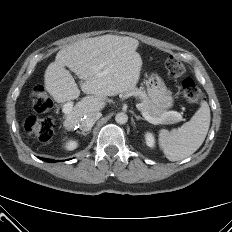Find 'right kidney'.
I'll return each mask as SVG.
<instances>
[{
    "label": "right kidney",
    "mask_w": 232,
    "mask_h": 232,
    "mask_svg": "<svg viewBox=\"0 0 232 232\" xmlns=\"http://www.w3.org/2000/svg\"><path fill=\"white\" fill-rule=\"evenodd\" d=\"M67 150H74L78 147V141L76 140H68L66 143H65V146H64Z\"/></svg>",
    "instance_id": "obj_1"
}]
</instances>
